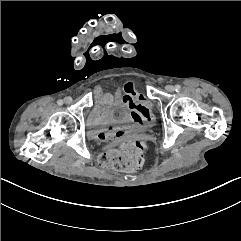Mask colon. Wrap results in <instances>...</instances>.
Segmentation results:
<instances>
[{"label": "colon", "instance_id": "5ec220e1", "mask_svg": "<svg viewBox=\"0 0 241 241\" xmlns=\"http://www.w3.org/2000/svg\"><path fill=\"white\" fill-rule=\"evenodd\" d=\"M144 143L128 141L120 148L108 149L99 154L97 165L102 168L131 170L143 165Z\"/></svg>", "mask_w": 241, "mask_h": 241}]
</instances>
